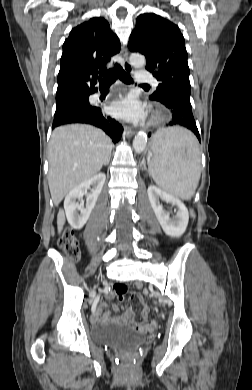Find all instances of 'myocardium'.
I'll return each mask as SVG.
<instances>
[{
  "mask_svg": "<svg viewBox=\"0 0 252 390\" xmlns=\"http://www.w3.org/2000/svg\"><path fill=\"white\" fill-rule=\"evenodd\" d=\"M166 117V112L163 109H155L152 113L150 123L153 125L160 124Z\"/></svg>",
  "mask_w": 252,
  "mask_h": 390,
  "instance_id": "myocardium-1",
  "label": "myocardium"
}]
</instances>
